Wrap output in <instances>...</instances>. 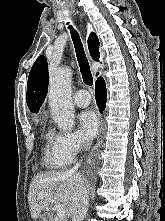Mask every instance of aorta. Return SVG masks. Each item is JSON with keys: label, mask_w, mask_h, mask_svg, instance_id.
<instances>
[{"label": "aorta", "mask_w": 165, "mask_h": 221, "mask_svg": "<svg viewBox=\"0 0 165 221\" xmlns=\"http://www.w3.org/2000/svg\"><path fill=\"white\" fill-rule=\"evenodd\" d=\"M72 71L68 67L58 69L50 75L49 105L57 126L64 131L74 127V106L71 101Z\"/></svg>", "instance_id": "762f6f07"}]
</instances>
